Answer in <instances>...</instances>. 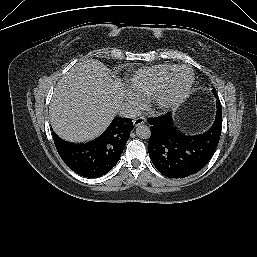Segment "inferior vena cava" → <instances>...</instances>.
<instances>
[{
    "mask_svg": "<svg viewBox=\"0 0 257 257\" xmlns=\"http://www.w3.org/2000/svg\"><path fill=\"white\" fill-rule=\"evenodd\" d=\"M119 115L125 118L134 119L140 115V111L137 107L130 104H122L119 108Z\"/></svg>",
    "mask_w": 257,
    "mask_h": 257,
    "instance_id": "obj_1",
    "label": "inferior vena cava"
}]
</instances>
